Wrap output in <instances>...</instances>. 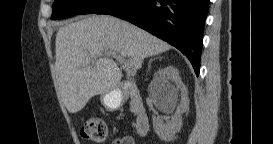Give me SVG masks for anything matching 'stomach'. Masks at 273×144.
Here are the masks:
<instances>
[{"instance_id": "obj_1", "label": "stomach", "mask_w": 273, "mask_h": 144, "mask_svg": "<svg viewBox=\"0 0 273 144\" xmlns=\"http://www.w3.org/2000/svg\"><path fill=\"white\" fill-rule=\"evenodd\" d=\"M123 101V95L117 89L101 95V103L108 111L119 109L122 106Z\"/></svg>"}]
</instances>
